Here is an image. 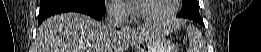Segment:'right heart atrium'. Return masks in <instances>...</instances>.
<instances>
[{
    "label": "right heart atrium",
    "instance_id": "right-heart-atrium-1",
    "mask_svg": "<svg viewBox=\"0 0 261 52\" xmlns=\"http://www.w3.org/2000/svg\"><path fill=\"white\" fill-rule=\"evenodd\" d=\"M109 12L115 18H126L129 15L127 7L121 1H113L109 5Z\"/></svg>",
    "mask_w": 261,
    "mask_h": 52
}]
</instances>
